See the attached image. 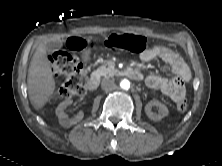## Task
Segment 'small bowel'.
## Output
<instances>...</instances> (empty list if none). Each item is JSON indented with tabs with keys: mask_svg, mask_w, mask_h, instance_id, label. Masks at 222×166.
Masks as SVG:
<instances>
[{
	"mask_svg": "<svg viewBox=\"0 0 222 166\" xmlns=\"http://www.w3.org/2000/svg\"><path fill=\"white\" fill-rule=\"evenodd\" d=\"M156 58H160L171 67L173 77L166 79L156 74H151L146 77L145 83L148 88L160 90L164 95L171 98L173 102L177 103L185 97V83L191 78L190 69L181 55L167 46H154L140 54V59L145 62Z\"/></svg>",
	"mask_w": 222,
	"mask_h": 166,
	"instance_id": "1",
	"label": "small bowel"
}]
</instances>
